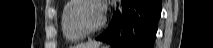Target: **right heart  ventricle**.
Segmentation results:
<instances>
[{"label": "right heart ventricle", "mask_w": 213, "mask_h": 48, "mask_svg": "<svg viewBox=\"0 0 213 48\" xmlns=\"http://www.w3.org/2000/svg\"><path fill=\"white\" fill-rule=\"evenodd\" d=\"M75 0L66 1L61 11V31L66 41L75 43L81 41L84 36L81 35L71 24L69 13Z\"/></svg>", "instance_id": "obj_1"}]
</instances>
